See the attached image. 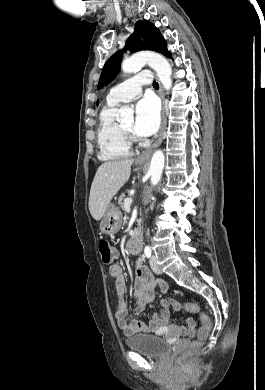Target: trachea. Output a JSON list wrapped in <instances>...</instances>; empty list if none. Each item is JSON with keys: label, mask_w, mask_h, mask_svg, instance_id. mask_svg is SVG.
Returning a JSON list of instances; mask_svg holds the SVG:
<instances>
[{"label": "trachea", "mask_w": 265, "mask_h": 390, "mask_svg": "<svg viewBox=\"0 0 265 390\" xmlns=\"http://www.w3.org/2000/svg\"><path fill=\"white\" fill-rule=\"evenodd\" d=\"M153 87H154V88H159V84H158L156 81H154V82H153Z\"/></svg>", "instance_id": "3493384b"}]
</instances>
